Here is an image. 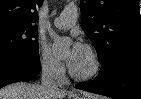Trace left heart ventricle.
I'll list each match as a JSON object with an SVG mask.
<instances>
[{
  "label": "left heart ventricle",
  "instance_id": "left-heart-ventricle-1",
  "mask_svg": "<svg viewBox=\"0 0 141 99\" xmlns=\"http://www.w3.org/2000/svg\"><path fill=\"white\" fill-rule=\"evenodd\" d=\"M92 67V62L89 54L85 51H83L81 57L77 61V63L72 67L76 72L78 73H86L88 72Z\"/></svg>",
  "mask_w": 141,
  "mask_h": 99
}]
</instances>
